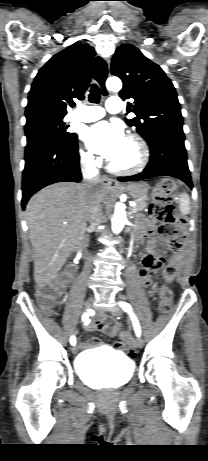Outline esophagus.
I'll return each instance as SVG.
<instances>
[{
    "mask_svg": "<svg viewBox=\"0 0 208 461\" xmlns=\"http://www.w3.org/2000/svg\"><path fill=\"white\" fill-rule=\"evenodd\" d=\"M101 61L103 62V67H104V71L106 72V76H105V79L102 82V85L101 84L100 85H101L104 93L106 94L107 91L105 90V83H106V79L109 76V72H110V62H109L108 59H101ZM94 72H95V70H94ZM101 183L105 188H114V187H116L118 185V183H117V181L115 179L109 178L108 176H102L101 177Z\"/></svg>",
    "mask_w": 208,
    "mask_h": 461,
    "instance_id": "obj_1",
    "label": "esophagus"
}]
</instances>
